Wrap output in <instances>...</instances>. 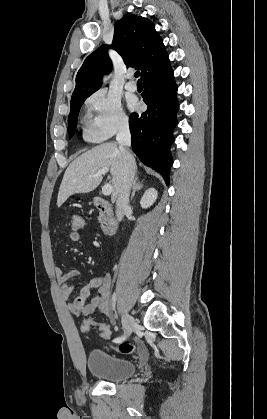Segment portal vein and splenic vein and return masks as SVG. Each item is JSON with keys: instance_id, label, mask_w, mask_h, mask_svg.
<instances>
[{"instance_id": "obj_1", "label": "portal vein and splenic vein", "mask_w": 267, "mask_h": 419, "mask_svg": "<svg viewBox=\"0 0 267 419\" xmlns=\"http://www.w3.org/2000/svg\"><path fill=\"white\" fill-rule=\"evenodd\" d=\"M108 170L109 169L107 167L101 168L100 170H98V172L96 174L90 175L89 177L92 178V177H96V176H102V175L106 174L108 172ZM112 189H113V187H112L111 184H105L102 187L103 195L109 196L112 193Z\"/></svg>"}]
</instances>
